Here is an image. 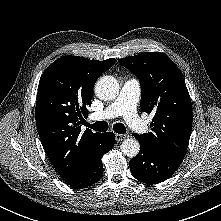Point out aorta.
Segmentation results:
<instances>
[{"label":"aorta","mask_w":221,"mask_h":221,"mask_svg":"<svg viewBox=\"0 0 221 221\" xmlns=\"http://www.w3.org/2000/svg\"><path fill=\"white\" fill-rule=\"evenodd\" d=\"M96 96L104 101L114 100L119 93L118 81L113 76H103L95 84ZM121 151L127 157H135L140 151V144L134 138H128L122 142Z\"/></svg>","instance_id":"1"}]
</instances>
